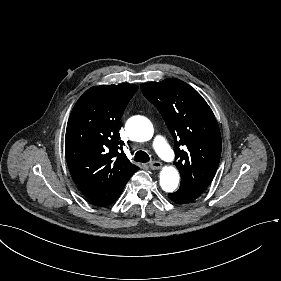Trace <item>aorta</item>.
Listing matches in <instances>:
<instances>
[{
    "label": "aorta",
    "mask_w": 281,
    "mask_h": 281,
    "mask_svg": "<svg viewBox=\"0 0 281 281\" xmlns=\"http://www.w3.org/2000/svg\"><path fill=\"white\" fill-rule=\"evenodd\" d=\"M129 136L138 142L148 141L154 134L152 123L145 117H135L127 122ZM180 176L173 166H165L160 172V186L165 192H173L179 183Z\"/></svg>",
    "instance_id": "obj_1"
}]
</instances>
